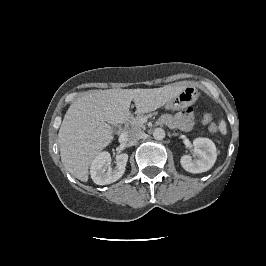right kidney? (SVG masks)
<instances>
[{
    "label": "right kidney",
    "mask_w": 266,
    "mask_h": 266,
    "mask_svg": "<svg viewBox=\"0 0 266 266\" xmlns=\"http://www.w3.org/2000/svg\"><path fill=\"white\" fill-rule=\"evenodd\" d=\"M128 161L127 154H121L116 157V167L111 168V156L104 151L99 153L92 161L90 173L91 178L97 185H107L119 180L124 172Z\"/></svg>",
    "instance_id": "1"
}]
</instances>
